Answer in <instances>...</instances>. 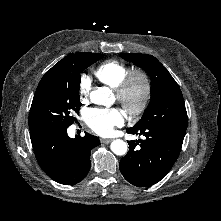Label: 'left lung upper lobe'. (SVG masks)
I'll return each mask as SVG.
<instances>
[{"label": "left lung upper lobe", "instance_id": "obj_1", "mask_svg": "<svg viewBox=\"0 0 221 221\" xmlns=\"http://www.w3.org/2000/svg\"><path fill=\"white\" fill-rule=\"evenodd\" d=\"M120 56L141 67L151 78V101L134 127L173 125L180 108H185V103L178 84L168 70L148 54L123 53Z\"/></svg>", "mask_w": 221, "mask_h": 221}]
</instances>
